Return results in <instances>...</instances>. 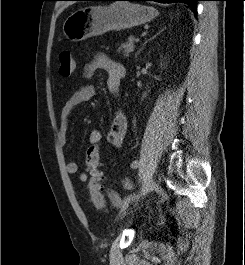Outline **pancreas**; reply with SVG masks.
<instances>
[{
    "mask_svg": "<svg viewBox=\"0 0 245 265\" xmlns=\"http://www.w3.org/2000/svg\"><path fill=\"white\" fill-rule=\"evenodd\" d=\"M134 48V37L131 36L126 43L121 44L118 51H122L123 56L126 58L129 56L130 53L134 51Z\"/></svg>",
    "mask_w": 245,
    "mask_h": 265,
    "instance_id": "obj_1",
    "label": "pancreas"
}]
</instances>
